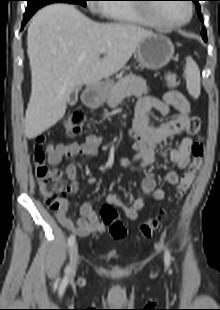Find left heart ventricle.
I'll use <instances>...</instances> for the list:
<instances>
[{"mask_svg":"<svg viewBox=\"0 0 220 310\" xmlns=\"http://www.w3.org/2000/svg\"><path fill=\"white\" fill-rule=\"evenodd\" d=\"M155 14L168 22H178L185 19L188 9L184 3L161 4L154 9Z\"/></svg>","mask_w":220,"mask_h":310,"instance_id":"left-heart-ventricle-1","label":"left heart ventricle"}]
</instances>
